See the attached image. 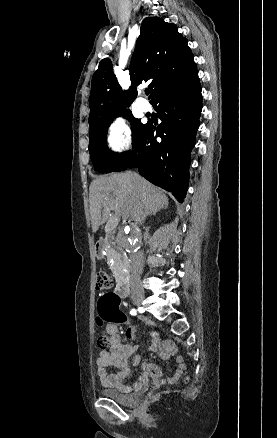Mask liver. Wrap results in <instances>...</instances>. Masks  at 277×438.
<instances>
[{
	"mask_svg": "<svg viewBox=\"0 0 277 438\" xmlns=\"http://www.w3.org/2000/svg\"><path fill=\"white\" fill-rule=\"evenodd\" d=\"M89 198L92 232L107 222L110 210H116L123 220L139 224L143 214L154 216L168 206V198L160 188L144 178L133 184L130 172L93 180Z\"/></svg>",
	"mask_w": 277,
	"mask_h": 438,
	"instance_id": "obj_1",
	"label": "liver"
}]
</instances>
